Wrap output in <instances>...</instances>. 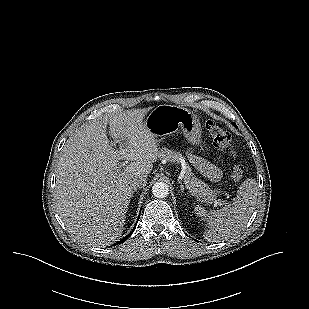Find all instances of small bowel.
Instances as JSON below:
<instances>
[{
    "mask_svg": "<svg viewBox=\"0 0 309 309\" xmlns=\"http://www.w3.org/2000/svg\"><path fill=\"white\" fill-rule=\"evenodd\" d=\"M219 161L221 164H223V160L221 158H219ZM196 163L204 175L212 182H218L221 179L222 173L219 168L205 161H197Z\"/></svg>",
    "mask_w": 309,
    "mask_h": 309,
    "instance_id": "c3829d8e",
    "label": "small bowel"
}]
</instances>
